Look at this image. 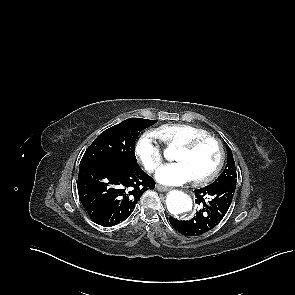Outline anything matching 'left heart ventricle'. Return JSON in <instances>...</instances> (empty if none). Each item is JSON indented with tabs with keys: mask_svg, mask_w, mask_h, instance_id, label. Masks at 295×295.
Listing matches in <instances>:
<instances>
[{
	"mask_svg": "<svg viewBox=\"0 0 295 295\" xmlns=\"http://www.w3.org/2000/svg\"><path fill=\"white\" fill-rule=\"evenodd\" d=\"M175 160L185 163L190 168L194 178H200L211 173L217 165L219 149L216 142L207 140L190 153L178 150Z\"/></svg>",
	"mask_w": 295,
	"mask_h": 295,
	"instance_id": "obj_1",
	"label": "left heart ventricle"
}]
</instances>
